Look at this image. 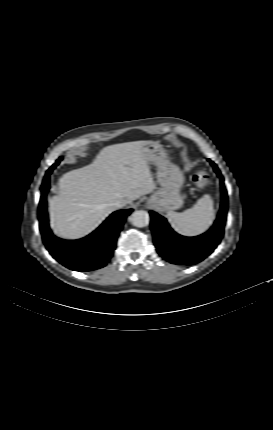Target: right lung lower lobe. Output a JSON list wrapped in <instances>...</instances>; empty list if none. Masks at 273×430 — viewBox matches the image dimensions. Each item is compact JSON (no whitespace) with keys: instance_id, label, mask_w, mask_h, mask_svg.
Returning <instances> with one entry per match:
<instances>
[{"instance_id":"right-lung-lower-lobe-1","label":"right lung lower lobe","mask_w":273,"mask_h":430,"mask_svg":"<svg viewBox=\"0 0 273 430\" xmlns=\"http://www.w3.org/2000/svg\"><path fill=\"white\" fill-rule=\"evenodd\" d=\"M53 164L46 172L41 187L38 218L43 242L49 253L65 267L80 271H92L104 267L116 248V241L126 217L132 209L111 214L93 233L79 240H63L54 236L49 228L46 210V194Z\"/></svg>"}]
</instances>
